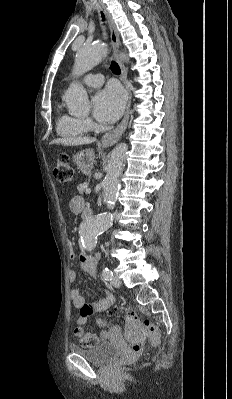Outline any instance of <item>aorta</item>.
Wrapping results in <instances>:
<instances>
[{"instance_id": "obj_1", "label": "aorta", "mask_w": 232, "mask_h": 399, "mask_svg": "<svg viewBox=\"0 0 232 399\" xmlns=\"http://www.w3.org/2000/svg\"><path fill=\"white\" fill-rule=\"evenodd\" d=\"M107 49L101 43L85 45L76 53L74 73L83 75L101 62L106 56ZM120 57L128 61L124 53ZM68 108L71 111L79 112L87 110L89 100L85 88L78 82L70 85L63 96ZM128 146L125 143L117 145L112 153L107 165L106 176L102 182L103 197L108 209H114L119 192V177L122 174L124 161ZM113 215L104 212L86 218L80 225V235L84 249L91 251L96 247L97 237L109 229L112 225Z\"/></svg>"}]
</instances>
